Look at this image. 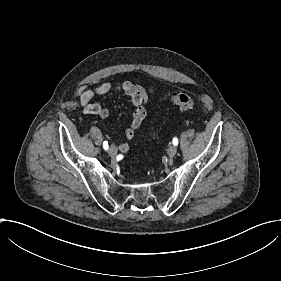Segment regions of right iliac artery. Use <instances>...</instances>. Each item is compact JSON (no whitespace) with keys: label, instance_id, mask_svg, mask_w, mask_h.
<instances>
[{"label":"right iliac artery","instance_id":"1","mask_svg":"<svg viewBox=\"0 0 281 281\" xmlns=\"http://www.w3.org/2000/svg\"><path fill=\"white\" fill-rule=\"evenodd\" d=\"M103 148H104L105 150H108V142H107V141H104V142H103Z\"/></svg>","mask_w":281,"mask_h":281}]
</instances>
